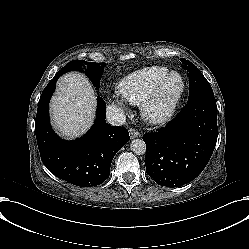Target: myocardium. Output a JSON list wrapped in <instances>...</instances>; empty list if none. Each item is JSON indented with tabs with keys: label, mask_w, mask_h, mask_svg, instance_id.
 Wrapping results in <instances>:
<instances>
[{
	"label": "myocardium",
	"mask_w": 249,
	"mask_h": 249,
	"mask_svg": "<svg viewBox=\"0 0 249 249\" xmlns=\"http://www.w3.org/2000/svg\"><path fill=\"white\" fill-rule=\"evenodd\" d=\"M172 76L177 77L178 89L173 95L169 96L166 104L161 110H152L153 104L162 96V91ZM184 87V80L178 72L171 71L167 73L152 95L140 105L141 118L148 124H162L168 121L174 114L176 107L182 98Z\"/></svg>",
	"instance_id": "f54148a6"
}]
</instances>
